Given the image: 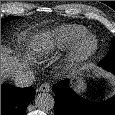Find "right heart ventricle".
I'll return each mask as SVG.
<instances>
[{
  "mask_svg": "<svg viewBox=\"0 0 115 115\" xmlns=\"http://www.w3.org/2000/svg\"><path fill=\"white\" fill-rule=\"evenodd\" d=\"M85 35L87 29L84 26L63 25L35 35L29 47L35 55L46 57L75 45Z\"/></svg>",
  "mask_w": 115,
  "mask_h": 115,
  "instance_id": "right-heart-ventricle-1",
  "label": "right heart ventricle"
}]
</instances>
